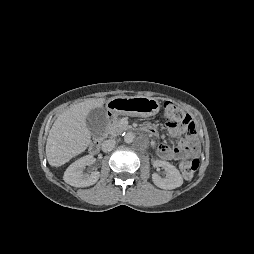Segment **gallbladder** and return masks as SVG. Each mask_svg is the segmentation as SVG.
<instances>
[{
	"label": "gallbladder",
	"instance_id": "bac80fb5",
	"mask_svg": "<svg viewBox=\"0 0 254 254\" xmlns=\"http://www.w3.org/2000/svg\"><path fill=\"white\" fill-rule=\"evenodd\" d=\"M107 122V112L103 107L92 109L86 117L87 128L93 137L103 136Z\"/></svg>",
	"mask_w": 254,
	"mask_h": 254
}]
</instances>
